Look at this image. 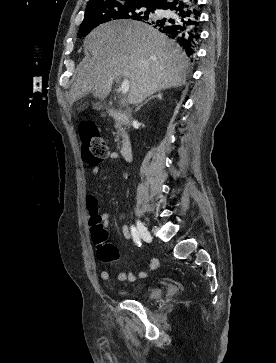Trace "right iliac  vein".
I'll list each match as a JSON object with an SVG mask.
<instances>
[{
	"instance_id": "obj_1",
	"label": "right iliac vein",
	"mask_w": 276,
	"mask_h": 363,
	"mask_svg": "<svg viewBox=\"0 0 276 363\" xmlns=\"http://www.w3.org/2000/svg\"><path fill=\"white\" fill-rule=\"evenodd\" d=\"M137 229L141 236V238L146 242L150 243L152 241V237L146 226L140 221L137 220Z\"/></svg>"
}]
</instances>
